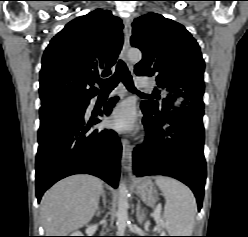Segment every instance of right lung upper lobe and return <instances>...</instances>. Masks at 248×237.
<instances>
[{"label":"right lung upper lobe","mask_w":248,"mask_h":237,"mask_svg":"<svg viewBox=\"0 0 248 237\" xmlns=\"http://www.w3.org/2000/svg\"><path fill=\"white\" fill-rule=\"evenodd\" d=\"M122 21L96 9L69 22L47 46L40 71L41 105L86 101L98 92L93 82L111 74L123 43Z\"/></svg>","instance_id":"cb5924a9"}]
</instances>
